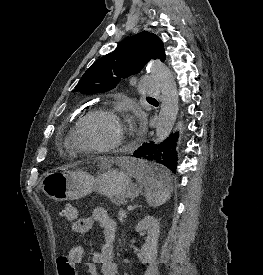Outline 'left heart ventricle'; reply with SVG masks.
I'll return each instance as SVG.
<instances>
[{"label": "left heart ventricle", "mask_w": 263, "mask_h": 275, "mask_svg": "<svg viewBox=\"0 0 263 275\" xmlns=\"http://www.w3.org/2000/svg\"><path fill=\"white\" fill-rule=\"evenodd\" d=\"M120 136L117 123L104 115H97L82 124L78 132L80 143L87 147H105Z\"/></svg>", "instance_id": "1"}]
</instances>
